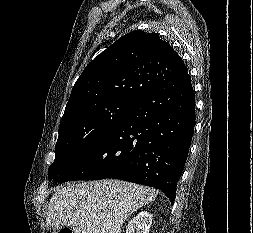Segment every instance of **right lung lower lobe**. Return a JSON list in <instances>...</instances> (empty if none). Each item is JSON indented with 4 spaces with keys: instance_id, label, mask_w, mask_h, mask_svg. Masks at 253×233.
<instances>
[{
    "instance_id": "right-lung-lower-lobe-1",
    "label": "right lung lower lobe",
    "mask_w": 253,
    "mask_h": 233,
    "mask_svg": "<svg viewBox=\"0 0 253 233\" xmlns=\"http://www.w3.org/2000/svg\"><path fill=\"white\" fill-rule=\"evenodd\" d=\"M194 124V92L184 67L146 90L118 126L55 181L126 180L161 190L173 205Z\"/></svg>"
}]
</instances>
